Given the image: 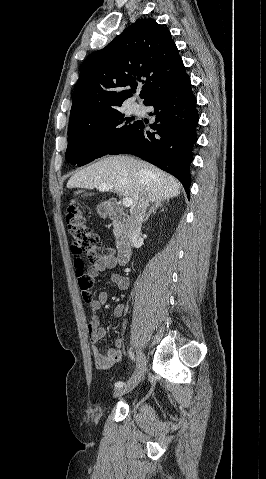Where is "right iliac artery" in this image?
<instances>
[{
    "label": "right iliac artery",
    "instance_id": "right-iliac-artery-1",
    "mask_svg": "<svg viewBox=\"0 0 266 479\" xmlns=\"http://www.w3.org/2000/svg\"><path fill=\"white\" fill-rule=\"evenodd\" d=\"M129 354H130L131 359L135 361L134 355L132 354L131 351H129ZM123 385H124V382H122V381H118V382L115 383V387H122Z\"/></svg>",
    "mask_w": 266,
    "mask_h": 479
}]
</instances>
